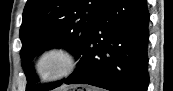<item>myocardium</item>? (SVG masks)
I'll return each mask as SVG.
<instances>
[{
  "instance_id": "f54148a6",
  "label": "myocardium",
  "mask_w": 173,
  "mask_h": 91,
  "mask_svg": "<svg viewBox=\"0 0 173 91\" xmlns=\"http://www.w3.org/2000/svg\"><path fill=\"white\" fill-rule=\"evenodd\" d=\"M78 65L76 53L64 45H51L42 50L35 61L37 78L44 83L62 80Z\"/></svg>"
}]
</instances>
